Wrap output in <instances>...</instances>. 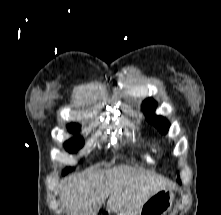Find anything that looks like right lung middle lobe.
Instances as JSON below:
<instances>
[{"mask_svg":"<svg viewBox=\"0 0 221 215\" xmlns=\"http://www.w3.org/2000/svg\"><path fill=\"white\" fill-rule=\"evenodd\" d=\"M68 130L70 132L76 133L79 130V126L77 124H69ZM83 144H84V141L82 138L75 137V138H72V139L66 141L64 146H65L66 150H68L70 153H74L78 149H80L83 146ZM71 170H72V168L65 169L63 171V174L65 175L66 173H68Z\"/></svg>","mask_w":221,"mask_h":215,"instance_id":"obj_1","label":"right lung middle lobe"}]
</instances>
